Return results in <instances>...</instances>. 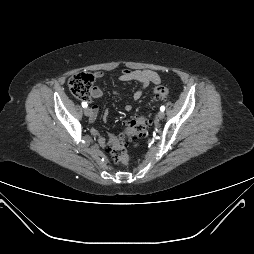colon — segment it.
<instances>
[{
	"mask_svg": "<svg viewBox=\"0 0 254 254\" xmlns=\"http://www.w3.org/2000/svg\"><path fill=\"white\" fill-rule=\"evenodd\" d=\"M94 76L87 73L72 75L68 80L70 92L78 99L86 100L90 97L93 89ZM169 89L165 86H158L154 89L155 96L167 98ZM150 119L147 116H138L130 119L126 123L123 132L114 137L110 145V153L115 162L128 165L130 160L127 153V143L129 141L144 138L148 134Z\"/></svg>",
	"mask_w": 254,
	"mask_h": 254,
	"instance_id": "colon-1",
	"label": "colon"
}]
</instances>
